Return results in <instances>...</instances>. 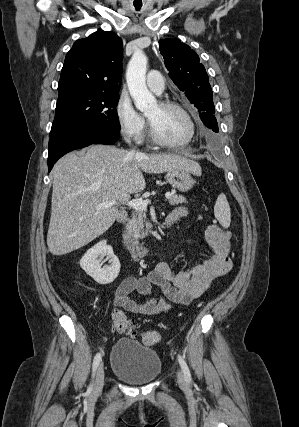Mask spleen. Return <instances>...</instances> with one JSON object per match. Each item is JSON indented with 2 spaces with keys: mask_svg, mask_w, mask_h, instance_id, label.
<instances>
[{
  "mask_svg": "<svg viewBox=\"0 0 299 427\" xmlns=\"http://www.w3.org/2000/svg\"><path fill=\"white\" fill-rule=\"evenodd\" d=\"M214 214L223 228H228L231 222L230 206L225 194H220L214 206Z\"/></svg>",
  "mask_w": 299,
  "mask_h": 427,
  "instance_id": "spleen-1",
  "label": "spleen"
}]
</instances>
